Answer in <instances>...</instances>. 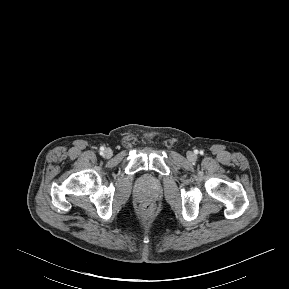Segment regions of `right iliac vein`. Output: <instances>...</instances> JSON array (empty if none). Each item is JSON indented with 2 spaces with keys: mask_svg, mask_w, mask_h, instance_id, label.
Returning <instances> with one entry per match:
<instances>
[{
  "mask_svg": "<svg viewBox=\"0 0 289 289\" xmlns=\"http://www.w3.org/2000/svg\"><path fill=\"white\" fill-rule=\"evenodd\" d=\"M104 156L106 158H110L112 156V150L107 148L105 151H104Z\"/></svg>",
  "mask_w": 289,
  "mask_h": 289,
  "instance_id": "1",
  "label": "right iliac vein"
}]
</instances>
